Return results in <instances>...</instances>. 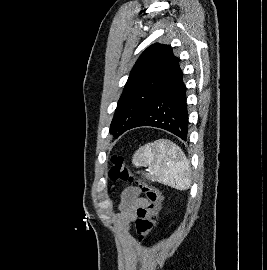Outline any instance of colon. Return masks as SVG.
Wrapping results in <instances>:
<instances>
[{
	"label": "colon",
	"instance_id": "obj_1",
	"mask_svg": "<svg viewBox=\"0 0 267 270\" xmlns=\"http://www.w3.org/2000/svg\"><path fill=\"white\" fill-rule=\"evenodd\" d=\"M111 163L112 166L109 171V177L111 180L134 182L138 184L146 196L148 205L145 209L139 211L134 224L135 232L139 240L144 241L150 236L154 227L155 218L162 208V194L156 186L133 174L126 165L122 156H112Z\"/></svg>",
	"mask_w": 267,
	"mask_h": 270
}]
</instances>
